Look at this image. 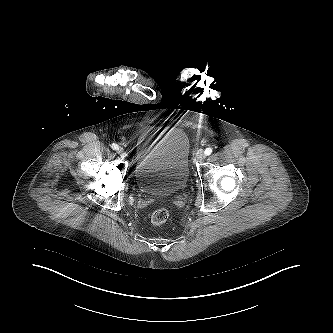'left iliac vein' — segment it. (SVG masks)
Wrapping results in <instances>:
<instances>
[{"mask_svg": "<svg viewBox=\"0 0 333 333\" xmlns=\"http://www.w3.org/2000/svg\"><path fill=\"white\" fill-rule=\"evenodd\" d=\"M206 157L205 153L203 150H199L197 153H196V160L197 161H201L203 160L204 158Z\"/></svg>", "mask_w": 333, "mask_h": 333, "instance_id": "obj_1", "label": "left iliac vein"}]
</instances>
